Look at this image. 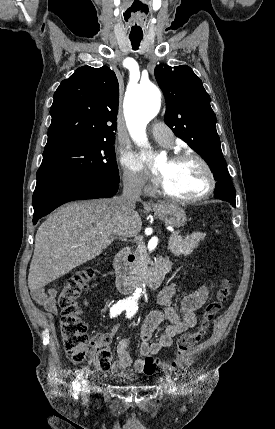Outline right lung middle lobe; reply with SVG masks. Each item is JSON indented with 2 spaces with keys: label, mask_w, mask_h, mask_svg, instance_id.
Returning a JSON list of instances; mask_svg holds the SVG:
<instances>
[{
  "label": "right lung middle lobe",
  "mask_w": 275,
  "mask_h": 429,
  "mask_svg": "<svg viewBox=\"0 0 275 429\" xmlns=\"http://www.w3.org/2000/svg\"><path fill=\"white\" fill-rule=\"evenodd\" d=\"M111 140L90 144H68L44 152L37 171L36 188L70 177L95 176L119 182V171Z\"/></svg>",
  "instance_id": "obj_1"
}]
</instances>
